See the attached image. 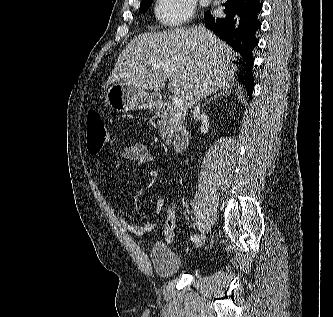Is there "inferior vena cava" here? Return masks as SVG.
Here are the masks:
<instances>
[{
  "label": "inferior vena cava",
  "instance_id": "inferior-vena-cava-1",
  "mask_svg": "<svg viewBox=\"0 0 333 317\" xmlns=\"http://www.w3.org/2000/svg\"><path fill=\"white\" fill-rule=\"evenodd\" d=\"M199 112H200V107H199V103H198V105L193 110V114L195 115V114H198Z\"/></svg>",
  "mask_w": 333,
  "mask_h": 317
}]
</instances>
